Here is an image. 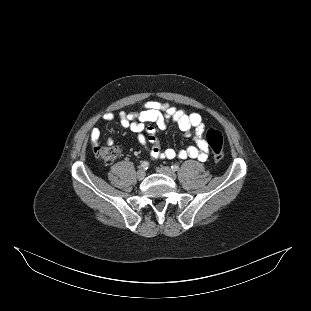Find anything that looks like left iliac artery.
<instances>
[{
	"label": "left iliac artery",
	"instance_id": "44dca946",
	"mask_svg": "<svg viewBox=\"0 0 311 311\" xmlns=\"http://www.w3.org/2000/svg\"><path fill=\"white\" fill-rule=\"evenodd\" d=\"M173 171H178L179 170V166L177 164H174L171 166Z\"/></svg>",
	"mask_w": 311,
	"mask_h": 311
}]
</instances>
